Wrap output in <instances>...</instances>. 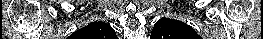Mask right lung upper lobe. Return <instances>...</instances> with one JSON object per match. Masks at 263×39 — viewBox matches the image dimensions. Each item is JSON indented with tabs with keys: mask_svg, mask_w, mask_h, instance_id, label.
<instances>
[{
	"mask_svg": "<svg viewBox=\"0 0 263 39\" xmlns=\"http://www.w3.org/2000/svg\"><path fill=\"white\" fill-rule=\"evenodd\" d=\"M74 36L81 37V39H115V31L109 24L104 22H93L89 25L77 30Z\"/></svg>",
	"mask_w": 263,
	"mask_h": 39,
	"instance_id": "1",
	"label": "right lung upper lobe"
}]
</instances>
